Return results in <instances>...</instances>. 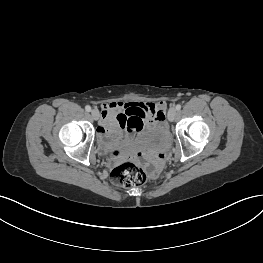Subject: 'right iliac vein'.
<instances>
[{
	"mask_svg": "<svg viewBox=\"0 0 263 263\" xmlns=\"http://www.w3.org/2000/svg\"><path fill=\"white\" fill-rule=\"evenodd\" d=\"M91 116L94 120H98L100 116L99 111L97 109L91 110Z\"/></svg>",
	"mask_w": 263,
	"mask_h": 263,
	"instance_id": "obj_1",
	"label": "right iliac vein"
}]
</instances>
